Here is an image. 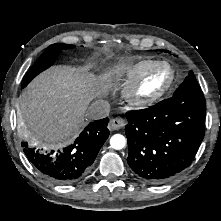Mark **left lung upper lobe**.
Segmentation results:
<instances>
[{
    "instance_id": "left-lung-upper-lobe-1",
    "label": "left lung upper lobe",
    "mask_w": 221,
    "mask_h": 221,
    "mask_svg": "<svg viewBox=\"0 0 221 221\" xmlns=\"http://www.w3.org/2000/svg\"><path fill=\"white\" fill-rule=\"evenodd\" d=\"M170 100L175 104L206 106L202 90L192 71L189 72L184 82L177 88Z\"/></svg>"
}]
</instances>
